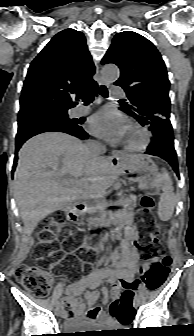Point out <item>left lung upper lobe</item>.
<instances>
[{
  "mask_svg": "<svg viewBox=\"0 0 194 336\" xmlns=\"http://www.w3.org/2000/svg\"><path fill=\"white\" fill-rule=\"evenodd\" d=\"M108 63L120 68L115 85L125 90L131 102L120 110L143 126L169 119L170 82L162 56L152 42L136 32H120L102 59V64Z\"/></svg>",
  "mask_w": 194,
  "mask_h": 336,
  "instance_id": "1",
  "label": "left lung upper lobe"
}]
</instances>
